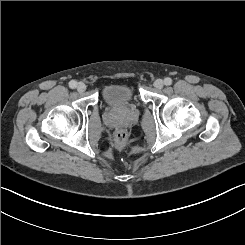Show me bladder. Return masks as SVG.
I'll use <instances>...</instances> for the list:
<instances>
[{"mask_svg": "<svg viewBox=\"0 0 245 245\" xmlns=\"http://www.w3.org/2000/svg\"><path fill=\"white\" fill-rule=\"evenodd\" d=\"M135 95L136 91L130 85H105L102 93L104 101L114 109L119 108L124 101Z\"/></svg>", "mask_w": 245, "mask_h": 245, "instance_id": "1", "label": "bladder"}]
</instances>
